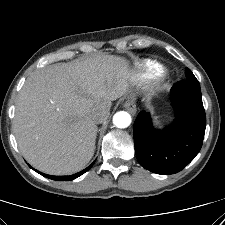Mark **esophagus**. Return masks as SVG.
Masks as SVG:
<instances>
[{"mask_svg":"<svg viewBox=\"0 0 225 225\" xmlns=\"http://www.w3.org/2000/svg\"><path fill=\"white\" fill-rule=\"evenodd\" d=\"M124 107H125V109H126L128 112H130L132 115L136 114V105L134 104L133 101H130V100L126 101V102L124 103Z\"/></svg>","mask_w":225,"mask_h":225,"instance_id":"obj_1","label":"esophagus"}]
</instances>
